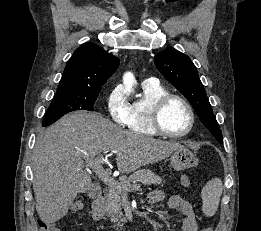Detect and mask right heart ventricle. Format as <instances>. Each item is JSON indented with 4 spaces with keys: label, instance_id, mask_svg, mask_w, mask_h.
<instances>
[{
    "label": "right heart ventricle",
    "instance_id": "right-heart-ventricle-1",
    "mask_svg": "<svg viewBox=\"0 0 261 231\" xmlns=\"http://www.w3.org/2000/svg\"><path fill=\"white\" fill-rule=\"evenodd\" d=\"M168 93L159 84L143 85L142 97L129 104L126 127L142 136H156L158 133L151 124V111L155 102Z\"/></svg>",
    "mask_w": 261,
    "mask_h": 231
}]
</instances>
